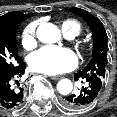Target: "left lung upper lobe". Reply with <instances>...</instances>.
<instances>
[{
  "label": "left lung upper lobe",
  "instance_id": "5c2ea615",
  "mask_svg": "<svg viewBox=\"0 0 117 117\" xmlns=\"http://www.w3.org/2000/svg\"><path fill=\"white\" fill-rule=\"evenodd\" d=\"M71 12L81 16L92 32L93 51L90 63L82 70L85 73H95L101 79L105 78L107 60V34L101 21L87 11L80 8H71Z\"/></svg>",
  "mask_w": 117,
  "mask_h": 117
}]
</instances>
